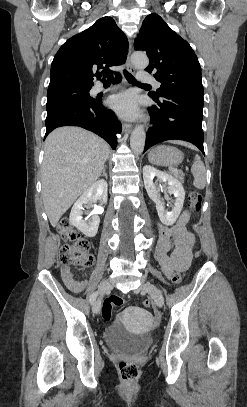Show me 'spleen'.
<instances>
[{
  "label": "spleen",
  "mask_w": 247,
  "mask_h": 407,
  "mask_svg": "<svg viewBox=\"0 0 247 407\" xmlns=\"http://www.w3.org/2000/svg\"><path fill=\"white\" fill-rule=\"evenodd\" d=\"M191 172L194 177L193 185L197 189H203L206 185V170L204 163L201 161L199 155H195L194 162L191 167Z\"/></svg>",
  "instance_id": "spleen-1"
}]
</instances>
